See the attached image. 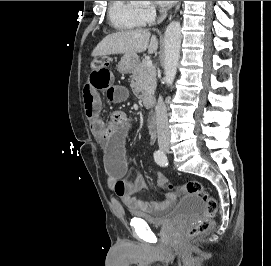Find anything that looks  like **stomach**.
I'll list each match as a JSON object with an SVG mask.
<instances>
[{
	"label": "stomach",
	"mask_w": 271,
	"mask_h": 266,
	"mask_svg": "<svg viewBox=\"0 0 271 266\" xmlns=\"http://www.w3.org/2000/svg\"><path fill=\"white\" fill-rule=\"evenodd\" d=\"M139 63L137 54H124L118 64L120 73H128L134 70Z\"/></svg>",
	"instance_id": "stomach-1"
}]
</instances>
